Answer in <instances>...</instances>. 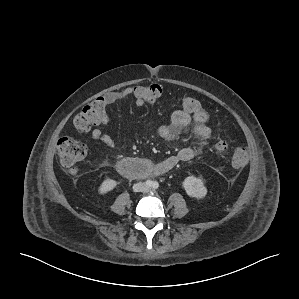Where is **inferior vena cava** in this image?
<instances>
[{
	"instance_id": "inferior-vena-cava-1",
	"label": "inferior vena cava",
	"mask_w": 299,
	"mask_h": 299,
	"mask_svg": "<svg viewBox=\"0 0 299 299\" xmlns=\"http://www.w3.org/2000/svg\"><path fill=\"white\" fill-rule=\"evenodd\" d=\"M133 190L135 192H145L148 190V187L144 183L140 182V183L134 184Z\"/></svg>"
}]
</instances>
